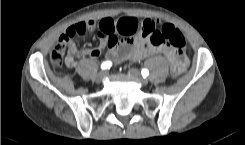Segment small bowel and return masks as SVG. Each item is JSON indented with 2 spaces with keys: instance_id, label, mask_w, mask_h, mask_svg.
<instances>
[{
  "instance_id": "1",
  "label": "small bowel",
  "mask_w": 245,
  "mask_h": 145,
  "mask_svg": "<svg viewBox=\"0 0 245 145\" xmlns=\"http://www.w3.org/2000/svg\"><path fill=\"white\" fill-rule=\"evenodd\" d=\"M88 30L100 34L103 38L99 45L92 49H79L75 41H68L65 47V64L69 68L76 66L77 61L86 56L97 57L103 52L109 60L114 62L132 61L140 62L146 58L162 53L171 61L176 62L181 69L188 64L185 50H173L165 45L154 46L142 40L123 39L115 37L116 33H127L130 26L140 32L146 24L157 26V22L149 19L125 17L113 19L109 17L90 19L84 22Z\"/></svg>"
}]
</instances>
